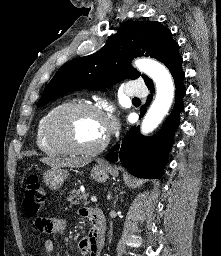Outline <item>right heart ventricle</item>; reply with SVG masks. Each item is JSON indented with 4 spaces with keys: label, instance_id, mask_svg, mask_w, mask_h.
Instances as JSON below:
<instances>
[{
    "label": "right heart ventricle",
    "instance_id": "1",
    "mask_svg": "<svg viewBox=\"0 0 221 256\" xmlns=\"http://www.w3.org/2000/svg\"><path fill=\"white\" fill-rule=\"evenodd\" d=\"M73 101H63L53 105L40 118L36 128V144L37 147L48 155H62L67 152L59 145L52 143L47 136V128L50 117L62 106H65Z\"/></svg>",
    "mask_w": 221,
    "mask_h": 256
}]
</instances>
